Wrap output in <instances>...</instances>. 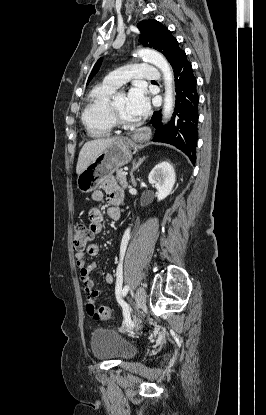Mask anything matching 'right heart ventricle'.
I'll return each instance as SVG.
<instances>
[{
  "label": "right heart ventricle",
  "instance_id": "right-heart-ventricle-1",
  "mask_svg": "<svg viewBox=\"0 0 266 415\" xmlns=\"http://www.w3.org/2000/svg\"><path fill=\"white\" fill-rule=\"evenodd\" d=\"M117 87L105 82L94 87L89 93L82 112V122L93 137L110 135L115 124L110 113V99Z\"/></svg>",
  "mask_w": 266,
  "mask_h": 415
}]
</instances>
